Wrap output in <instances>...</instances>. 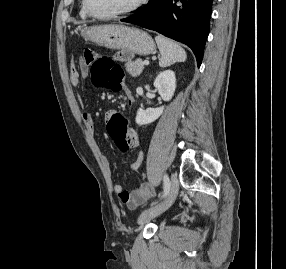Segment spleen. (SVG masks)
Segmentation results:
<instances>
[{"label": "spleen", "mask_w": 286, "mask_h": 269, "mask_svg": "<svg viewBox=\"0 0 286 269\" xmlns=\"http://www.w3.org/2000/svg\"><path fill=\"white\" fill-rule=\"evenodd\" d=\"M160 50V67H168L176 62H184L187 58L185 50L176 42L162 35L155 37Z\"/></svg>", "instance_id": "obj_1"}]
</instances>
